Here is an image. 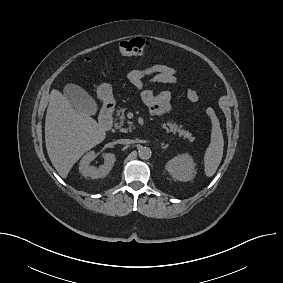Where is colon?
Segmentation results:
<instances>
[{
	"label": "colon",
	"mask_w": 283,
	"mask_h": 283,
	"mask_svg": "<svg viewBox=\"0 0 283 283\" xmlns=\"http://www.w3.org/2000/svg\"><path fill=\"white\" fill-rule=\"evenodd\" d=\"M148 48L149 43L146 40L142 38H132L120 42L118 52L122 56L141 55L145 53ZM187 98L193 103H197L200 99L198 92L193 88L187 90Z\"/></svg>",
	"instance_id": "colon-1"
}]
</instances>
